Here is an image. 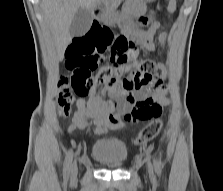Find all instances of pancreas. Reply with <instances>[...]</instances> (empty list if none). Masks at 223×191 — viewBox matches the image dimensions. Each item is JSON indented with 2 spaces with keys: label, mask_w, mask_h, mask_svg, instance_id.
Returning a JSON list of instances; mask_svg holds the SVG:
<instances>
[{
  "label": "pancreas",
  "mask_w": 223,
  "mask_h": 191,
  "mask_svg": "<svg viewBox=\"0 0 223 191\" xmlns=\"http://www.w3.org/2000/svg\"><path fill=\"white\" fill-rule=\"evenodd\" d=\"M121 0H110L109 2H107L105 4L106 8L109 10H113L116 9L118 7V5L120 4Z\"/></svg>",
  "instance_id": "pancreas-1"
}]
</instances>
